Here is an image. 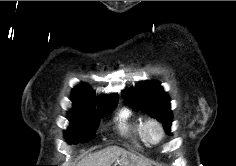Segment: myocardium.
Here are the masks:
<instances>
[{
	"mask_svg": "<svg viewBox=\"0 0 236 166\" xmlns=\"http://www.w3.org/2000/svg\"><path fill=\"white\" fill-rule=\"evenodd\" d=\"M155 128L157 130V136L153 138L150 133V129ZM142 132L145 141L151 145L158 144L164 137V128L162 123L156 118H147L142 125Z\"/></svg>",
	"mask_w": 236,
	"mask_h": 166,
	"instance_id": "obj_1",
	"label": "myocardium"
}]
</instances>
